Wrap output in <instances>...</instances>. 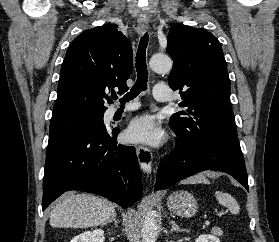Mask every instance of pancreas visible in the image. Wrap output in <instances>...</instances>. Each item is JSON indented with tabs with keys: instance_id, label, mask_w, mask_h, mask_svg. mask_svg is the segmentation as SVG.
Returning <instances> with one entry per match:
<instances>
[{
	"instance_id": "cf45deb5",
	"label": "pancreas",
	"mask_w": 279,
	"mask_h": 242,
	"mask_svg": "<svg viewBox=\"0 0 279 242\" xmlns=\"http://www.w3.org/2000/svg\"><path fill=\"white\" fill-rule=\"evenodd\" d=\"M213 233L218 235V236H222L223 235V231H221V229H214Z\"/></svg>"
}]
</instances>
